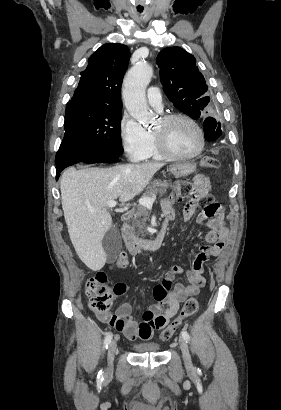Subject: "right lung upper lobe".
<instances>
[{
  "instance_id": "cb5924a9",
  "label": "right lung upper lobe",
  "mask_w": 281,
  "mask_h": 410,
  "mask_svg": "<svg viewBox=\"0 0 281 410\" xmlns=\"http://www.w3.org/2000/svg\"><path fill=\"white\" fill-rule=\"evenodd\" d=\"M130 59L127 46L118 43L101 46L89 58L87 68L69 105H89L121 109V85Z\"/></svg>"
}]
</instances>
